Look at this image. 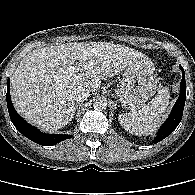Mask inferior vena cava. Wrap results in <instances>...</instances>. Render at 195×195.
Here are the masks:
<instances>
[{
  "label": "inferior vena cava",
  "instance_id": "602c4592",
  "mask_svg": "<svg viewBox=\"0 0 195 195\" xmlns=\"http://www.w3.org/2000/svg\"><path fill=\"white\" fill-rule=\"evenodd\" d=\"M90 95V91L85 87H79L73 92L74 100L79 103L86 100Z\"/></svg>",
  "mask_w": 195,
  "mask_h": 195
}]
</instances>
